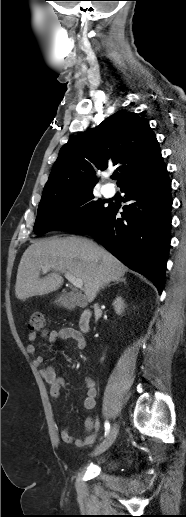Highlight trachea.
I'll return each instance as SVG.
<instances>
[{"mask_svg":"<svg viewBox=\"0 0 186 517\" xmlns=\"http://www.w3.org/2000/svg\"><path fill=\"white\" fill-rule=\"evenodd\" d=\"M112 178H113L114 180H117V179L119 178V173H114V174L112 175Z\"/></svg>","mask_w":186,"mask_h":517,"instance_id":"trachea-1","label":"trachea"}]
</instances>
